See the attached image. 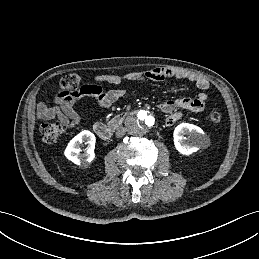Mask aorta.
<instances>
[{"mask_svg":"<svg viewBox=\"0 0 259 259\" xmlns=\"http://www.w3.org/2000/svg\"><path fill=\"white\" fill-rule=\"evenodd\" d=\"M154 123V116L148 110H139L133 113L127 120L128 129L134 135L144 134Z\"/></svg>","mask_w":259,"mask_h":259,"instance_id":"aorta-1","label":"aorta"}]
</instances>
